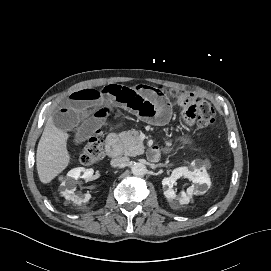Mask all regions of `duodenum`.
<instances>
[{
	"label": "duodenum",
	"mask_w": 271,
	"mask_h": 271,
	"mask_svg": "<svg viewBox=\"0 0 271 271\" xmlns=\"http://www.w3.org/2000/svg\"><path fill=\"white\" fill-rule=\"evenodd\" d=\"M106 153L111 158H118L121 154L120 140L118 134L108 135L105 141Z\"/></svg>",
	"instance_id": "duodenum-1"
}]
</instances>
